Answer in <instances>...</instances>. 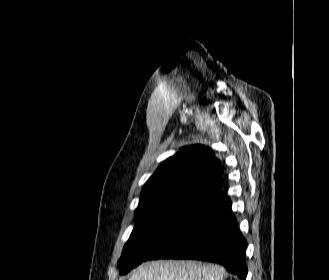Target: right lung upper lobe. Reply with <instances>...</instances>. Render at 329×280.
I'll return each instance as SVG.
<instances>
[{"instance_id": "right-lung-upper-lobe-1", "label": "right lung upper lobe", "mask_w": 329, "mask_h": 280, "mask_svg": "<svg viewBox=\"0 0 329 280\" xmlns=\"http://www.w3.org/2000/svg\"><path fill=\"white\" fill-rule=\"evenodd\" d=\"M221 186L220 162L211 149L186 146L162 162L146 182L135 215L151 203L173 197L208 201Z\"/></svg>"}]
</instances>
